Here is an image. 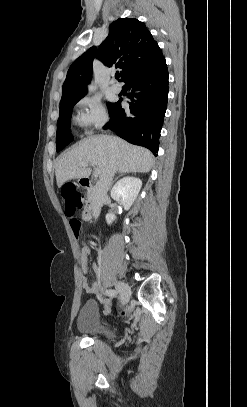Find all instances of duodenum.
Masks as SVG:
<instances>
[{"label":"duodenum","mask_w":247,"mask_h":407,"mask_svg":"<svg viewBox=\"0 0 247 407\" xmlns=\"http://www.w3.org/2000/svg\"><path fill=\"white\" fill-rule=\"evenodd\" d=\"M80 184L83 188H85L90 194H94L96 187H95V181L84 177L80 180ZM102 202L99 200L93 198L91 199L87 205L85 206L83 210V218L86 221L91 220L100 210V205Z\"/></svg>","instance_id":"duodenum-1"}]
</instances>
